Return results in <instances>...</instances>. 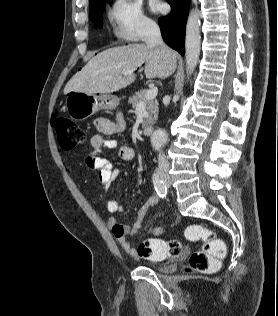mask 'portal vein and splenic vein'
<instances>
[{
  "mask_svg": "<svg viewBox=\"0 0 278 316\" xmlns=\"http://www.w3.org/2000/svg\"><path fill=\"white\" fill-rule=\"evenodd\" d=\"M134 72V70H128L126 72H124V75H129L132 74ZM111 76H106V79H111ZM158 93V89L157 87H151L150 89H148L145 93V99H154L157 96Z\"/></svg>",
  "mask_w": 278,
  "mask_h": 316,
  "instance_id": "1",
  "label": "portal vein and splenic vein"
}]
</instances>
